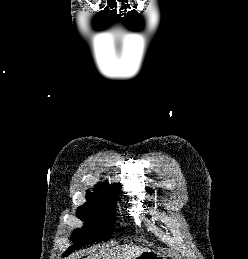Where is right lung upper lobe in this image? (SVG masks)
Segmentation results:
<instances>
[{"label": "right lung upper lobe", "instance_id": "cb5924a9", "mask_svg": "<svg viewBox=\"0 0 248 259\" xmlns=\"http://www.w3.org/2000/svg\"><path fill=\"white\" fill-rule=\"evenodd\" d=\"M118 186L121 185L118 184ZM93 191L94 192H90L87 190V199H95L97 197H115V195L119 193L115 185H109L108 183L98 184Z\"/></svg>", "mask_w": 248, "mask_h": 259}]
</instances>
